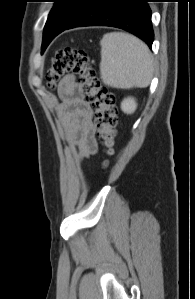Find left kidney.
Instances as JSON below:
<instances>
[{"label": "left kidney", "mask_w": 195, "mask_h": 299, "mask_svg": "<svg viewBox=\"0 0 195 299\" xmlns=\"http://www.w3.org/2000/svg\"><path fill=\"white\" fill-rule=\"evenodd\" d=\"M137 108L134 98L128 97L121 103V109L126 114H132Z\"/></svg>", "instance_id": "1"}]
</instances>
